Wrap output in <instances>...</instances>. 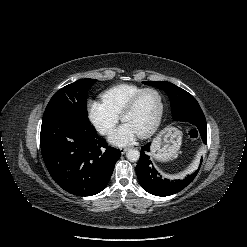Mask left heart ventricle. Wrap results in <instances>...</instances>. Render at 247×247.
Here are the masks:
<instances>
[{
	"mask_svg": "<svg viewBox=\"0 0 247 247\" xmlns=\"http://www.w3.org/2000/svg\"><path fill=\"white\" fill-rule=\"evenodd\" d=\"M159 110L160 103L157 95L151 92L145 93L135 109L125 116L124 122L130 124L139 135L154 124Z\"/></svg>",
	"mask_w": 247,
	"mask_h": 247,
	"instance_id": "left-heart-ventricle-1",
	"label": "left heart ventricle"
}]
</instances>
